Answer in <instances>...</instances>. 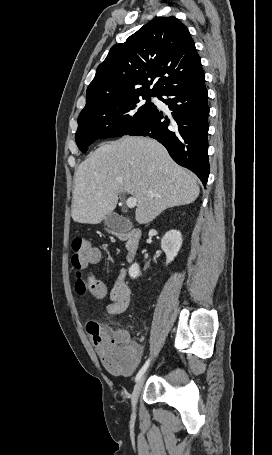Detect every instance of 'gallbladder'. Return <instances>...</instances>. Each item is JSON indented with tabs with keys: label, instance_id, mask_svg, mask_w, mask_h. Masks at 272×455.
Instances as JSON below:
<instances>
[{
	"label": "gallbladder",
	"instance_id": "bac80fb5",
	"mask_svg": "<svg viewBox=\"0 0 272 455\" xmlns=\"http://www.w3.org/2000/svg\"><path fill=\"white\" fill-rule=\"evenodd\" d=\"M104 223L108 227L120 232H127L132 228V223L129 220L115 213L109 214L105 218Z\"/></svg>",
	"mask_w": 272,
	"mask_h": 455
}]
</instances>
